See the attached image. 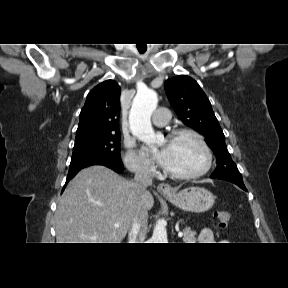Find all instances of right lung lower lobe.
I'll return each mask as SVG.
<instances>
[{
    "label": "right lung lower lobe",
    "mask_w": 288,
    "mask_h": 288,
    "mask_svg": "<svg viewBox=\"0 0 288 288\" xmlns=\"http://www.w3.org/2000/svg\"><path fill=\"white\" fill-rule=\"evenodd\" d=\"M90 165H104L106 167L113 169L114 171L118 173H121L123 171V165L114 164L103 158L86 159V160H83L74 164H70L65 186L82 168H85Z\"/></svg>",
    "instance_id": "98d812e1"
}]
</instances>
